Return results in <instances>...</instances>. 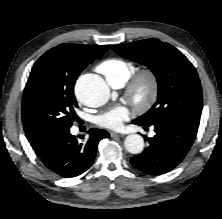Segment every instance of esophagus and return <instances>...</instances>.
Wrapping results in <instances>:
<instances>
[{
    "label": "esophagus",
    "mask_w": 222,
    "mask_h": 219,
    "mask_svg": "<svg viewBox=\"0 0 222 219\" xmlns=\"http://www.w3.org/2000/svg\"><path fill=\"white\" fill-rule=\"evenodd\" d=\"M110 136H111V137H122L123 134L116 133V132H110Z\"/></svg>",
    "instance_id": "obj_1"
}]
</instances>
